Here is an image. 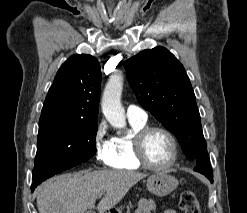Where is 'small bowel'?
I'll use <instances>...</instances> for the list:
<instances>
[{"instance_id":"c3829d8e","label":"small bowel","mask_w":247,"mask_h":213,"mask_svg":"<svg viewBox=\"0 0 247 213\" xmlns=\"http://www.w3.org/2000/svg\"><path fill=\"white\" fill-rule=\"evenodd\" d=\"M155 208L153 201L148 199H142L139 201L136 213H152ZM163 213H177L173 209H167Z\"/></svg>"}]
</instances>
